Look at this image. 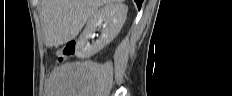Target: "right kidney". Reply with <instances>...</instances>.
<instances>
[{"label":"right kidney","instance_id":"obj_1","mask_svg":"<svg viewBox=\"0 0 232 96\" xmlns=\"http://www.w3.org/2000/svg\"><path fill=\"white\" fill-rule=\"evenodd\" d=\"M128 7L119 2H111L97 10L88 20L87 25L76 44V55L80 58H89L102 50L120 32L126 18ZM101 28V36L93 44L88 39Z\"/></svg>","mask_w":232,"mask_h":96}]
</instances>
